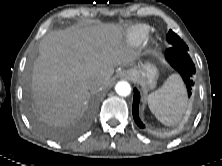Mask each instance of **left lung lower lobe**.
<instances>
[{
  "mask_svg": "<svg viewBox=\"0 0 222 166\" xmlns=\"http://www.w3.org/2000/svg\"><path fill=\"white\" fill-rule=\"evenodd\" d=\"M165 57L169 64L175 68L181 75L184 83L186 84L188 95H191V89L194 85L192 77L195 74V64L193 63L188 48H182L177 46H171L165 52ZM140 102V93L135 88L134 89V98H133V118L135 123L140 128H145V125L141 122L138 116V108Z\"/></svg>",
  "mask_w": 222,
  "mask_h": 166,
  "instance_id": "1",
  "label": "left lung lower lobe"
}]
</instances>
